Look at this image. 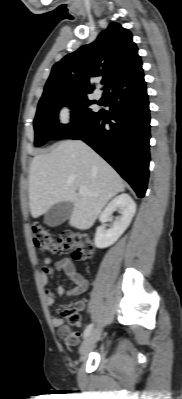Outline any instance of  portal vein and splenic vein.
I'll return each instance as SVG.
<instances>
[{"label": "portal vein and splenic vein", "mask_w": 182, "mask_h": 399, "mask_svg": "<svg viewBox=\"0 0 182 399\" xmlns=\"http://www.w3.org/2000/svg\"><path fill=\"white\" fill-rule=\"evenodd\" d=\"M79 194H80V195H86V194H88V191H87L86 187L80 186V187H79Z\"/></svg>", "instance_id": "obj_1"}]
</instances>
